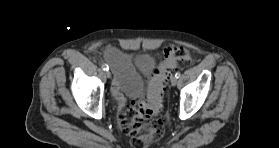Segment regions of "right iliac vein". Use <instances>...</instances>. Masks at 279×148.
I'll return each instance as SVG.
<instances>
[{"label":"right iliac vein","mask_w":279,"mask_h":148,"mask_svg":"<svg viewBox=\"0 0 279 148\" xmlns=\"http://www.w3.org/2000/svg\"><path fill=\"white\" fill-rule=\"evenodd\" d=\"M105 76H106L107 78H110V77H111V72H110L109 70H106V71H105Z\"/></svg>","instance_id":"63e3f726"}]
</instances>
